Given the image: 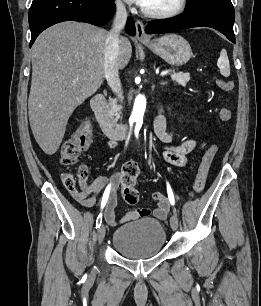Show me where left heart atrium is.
Instances as JSON below:
<instances>
[{"label": "left heart atrium", "instance_id": "left-heart-atrium-1", "mask_svg": "<svg viewBox=\"0 0 261 306\" xmlns=\"http://www.w3.org/2000/svg\"><path fill=\"white\" fill-rule=\"evenodd\" d=\"M129 3H135L141 6H144L147 0H126Z\"/></svg>", "mask_w": 261, "mask_h": 306}]
</instances>
